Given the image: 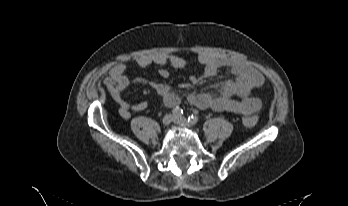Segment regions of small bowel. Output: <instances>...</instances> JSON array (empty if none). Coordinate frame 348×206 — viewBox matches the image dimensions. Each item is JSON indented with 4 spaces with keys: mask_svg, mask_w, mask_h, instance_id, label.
<instances>
[{
    "mask_svg": "<svg viewBox=\"0 0 348 206\" xmlns=\"http://www.w3.org/2000/svg\"><path fill=\"white\" fill-rule=\"evenodd\" d=\"M198 62L203 67L200 76L191 77L190 82L183 83L180 89L189 90L201 79L209 78L217 74L220 68L229 67L236 74V79L225 82L218 94L191 92L189 101L196 107L204 110L227 111L235 114H255L261 108V102L250 96L252 90L264 83L263 75L249 63L235 58L201 53ZM134 63L146 68L150 65L163 66L170 64L174 68H183L185 61L178 55L155 54L140 55L134 59ZM127 63H119L112 67L102 79L108 93L119 106V114L124 119L131 117V111H142L148 106L146 101L132 103L125 100L122 92L134 84L147 85L161 97L167 107H175L181 101V96L170 86L143 78H130L125 74ZM162 77H168L166 69L160 70ZM238 98V99H236Z\"/></svg>",
    "mask_w": 348,
    "mask_h": 206,
    "instance_id": "small-bowel-1",
    "label": "small bowel"
}]
</instances>
